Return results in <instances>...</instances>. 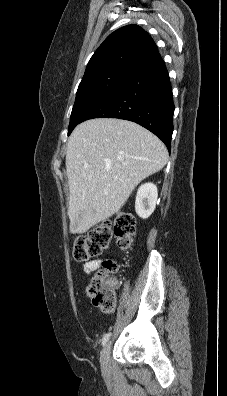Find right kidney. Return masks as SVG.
Masks as SVG:
<instances>
[{
    "instance_id": "ca27d5eb",
    "label": "right kidney",
    "mask_w": 227,
    "mask_h": 396,
    "mask_svg": "<svg viewBox=\"0 0 227 396\" xmlns=\"http://www.w3.org/2000/svg\"><path fill=\"white\" fill-rule=\"evenodd\" d=\"M158 191L153 183L141 185L137 191L135 210L138 216L143 219L148 218L156 207Z\"/></svg>"
}]
</instances>
